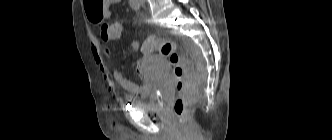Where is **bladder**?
<instances>
[{
    "label": "bladder",
    "mask_w": 332,
    "mask_h": 140,
    "mask_svg": "<svg viewBox=\"0 0 332 140\" xmlns=\"http://www.w3.org/2000/svg\"><path fill=\"white\" fill-rule=\"evenodd\" d=\"M133 105L139 109L146 111L157 110L159 108L158 93L152 91L146 96L144 100H134Z\"/></svg>",
    "instance_id": "bladder-1"
}]
</instances>
